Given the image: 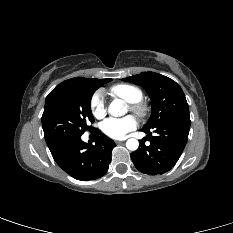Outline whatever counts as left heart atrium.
I'll list each match as a JSON object with an SVG mask.
<instances>
[{"mask_svg":"<svg viewBox=\"0 0 233 233\" xmlns=\"http://www.w3.org/2000/svg\"><path fill=\"white\" fill-rule=\"evenodd\" d=\"M137 124V120L133 116L121 119L109 118L101 124V130L110 138L122 139L127 133L133 131Z\"/></svg>","mask_w":233,"mask_h":233,"instance_id":"1","label":"left heart atrium"}]
</instances>
